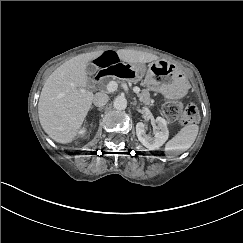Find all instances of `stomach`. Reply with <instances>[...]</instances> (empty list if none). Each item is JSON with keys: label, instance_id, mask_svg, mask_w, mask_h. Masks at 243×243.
Here are the masks:
<instances>
[{"label": "stomach", "instance_id": "0dacf381", "mask_svg": "<svg viewBox=\"0 0 243 243\" xmlns=\"http://www.w3.org/2000/svg\"><path fill=\"white\" fill-rule=\"evenodd\" d=\"M132 69L137 77L145 75L144 83L148 90L160 92L169 99L181 98L189 89L183 72L165 60L154 61L147 69L144 65L134 64Z\"/></svg>", "mask_w": 243, "mask_h": 243}]
</instances>
